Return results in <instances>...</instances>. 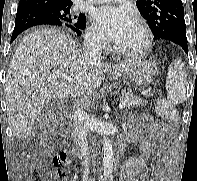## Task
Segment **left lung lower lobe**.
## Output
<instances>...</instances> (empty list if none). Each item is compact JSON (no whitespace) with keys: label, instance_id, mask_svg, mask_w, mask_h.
Wrapping results in <instances>:
<instances>
[{"label":"left lung lower lobe","instance_id":"obj_1","mask_svg":"<svg viewBox=\"0 0 197 181\" xmlns=\"http://www.w3.org/2000/svg\"><path fill=\"white\" fill-rule=\"evenodd\" d=\"M168 40L180 45L188 55L186 31H176L169 35Z\"/></svg>","mask_w":197,"mask_h":181}]
</instances>
